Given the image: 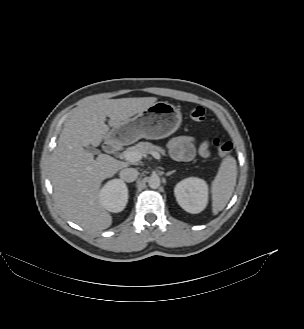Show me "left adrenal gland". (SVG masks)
Returning <instances> with one entry per match:
<instances>
[{"mask_svg":"<svg viewBox=\"0 0 304 329\" xmlns=\"http://www.w3.org/2000/svg\"><path fill=\"white\" fill-rule=\"evenodd\" d=\"M175 172V170H173V171H169V172H167L165 175L166 176H170L171 174H173Z\"/></svg>","mask_w":304,"mask_h":329,"instance_id":"left-adrenal-gland-1","label":"left adrenal gland"}]
</instances>
